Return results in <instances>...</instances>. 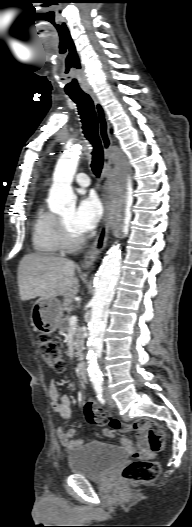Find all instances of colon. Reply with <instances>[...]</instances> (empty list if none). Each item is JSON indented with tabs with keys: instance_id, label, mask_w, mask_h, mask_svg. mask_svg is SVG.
I'll return each instance as SVG.
<instances>
[{
	"instance_id": "colon-1",
	"label": "colon",
	"mask_w": 192,
	"mask_h": 527,
	"mask_svg": "<svg viewBox=\"0 0 192 527\" xmlns=\"http://www.w3.org/2000/svg\"><path fill=\"white\" fill-rule=\"evenodd\" d=\"M36 343L40 354L46 364L57 372H62L65 362L60 348L55 341L48 335L40 334ZM84 413L90 424L97 426H108L116 431H125L127 425L111 417V415L98 406L93 400H89L84 407ZM133 429L144 430L146 432L147 445L154 451H161L165 446V432L160 425L155 422L139 420L133 423ZM160 471V464L157 461L147 460L142 463L134 460L129 463L122 472V478L129 483L153 482L157 479Z\"/></svg>"
}]
</instances>
